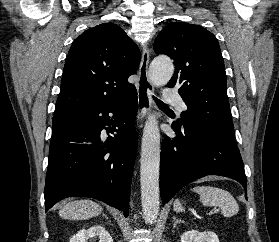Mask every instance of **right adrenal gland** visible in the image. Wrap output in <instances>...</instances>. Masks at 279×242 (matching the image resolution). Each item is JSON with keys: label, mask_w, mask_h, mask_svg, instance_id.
Here are the masks:
<instances>
[{"label": "right adrenal gland", "mask_w": 279, "mask_h": 242, "mask_svg": "<svg viewBox=\"0 0 279 242\" xmlns=\"http://www.w3.org/2000/svg\"><path fill=\"white\" fill-rule=\"evenodd\" d=\"M104 217H106V219H108V217L106 215H103Z\"/></svg>", "instance_id": "2a0ac1e0"}]
</instances>
